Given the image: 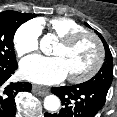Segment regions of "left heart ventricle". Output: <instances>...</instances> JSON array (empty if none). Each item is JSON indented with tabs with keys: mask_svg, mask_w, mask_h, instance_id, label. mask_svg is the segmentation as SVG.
I'll return each instance as SVG.
<instances>
[{
	"mask_svg": "<svg viewBox=\"0 0 117 117\" xmlns=\"http://www.w3.org/2000/svg\"><path fill=\"white\" fill-rule=\"evenodd\" d=\"M53 55L63 61L68 76H78L93 66L97 48L90 37H83L71 46L58 43L53 49Z\"/></svg>",
	"mask_w": 117,
	"mask_h": 117,
	"instance_id": "left-heart-ventricle-1",
	"label": "left heart ventricle"
}]
</instances>
